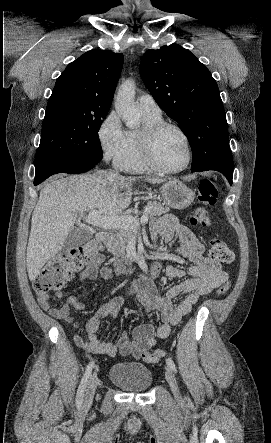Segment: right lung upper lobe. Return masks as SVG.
<instances>
[{"label":"right lung upper lobe","mask_w":271,"mask_h":443,"mask_svg":"<svg viewBox=\"0 0 271 443\" xmlns=\"http://www.w3.org/2000/svg\"><path fill=\"white\" fill-rule=\"evenodd\" d=\"M124 56L91 50L70 63L57 78L48 104L71 102L93 112H108Z\"/></svg>","instance_id":"cb5924a9"}]
</instances>
